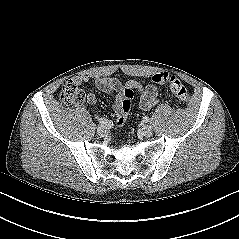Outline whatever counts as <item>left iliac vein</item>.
Instances as JSON below:
<instances>
[{
	"label": "left iliac vein",
	"mask_w": 239,
	"mask_h": 239,
	"mask_svg": "<svg viewBox=\"0 0 239 239\" xmlns=\"http://www.w3.org/2000/svg\"><path fill=\"white\" fill-rule=\"evenodd\" d=\"M141 134L145 137H150L153 134L152 128L148 125H145L141 128Z\"/></svg>",
	"instance_id": "1"
}]
</instances>
